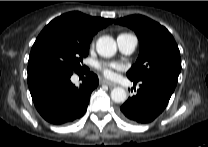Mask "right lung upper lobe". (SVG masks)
<instances>
[{
  "label": "right lung upper lobe",
  "mask_w": 208,
  "mask_h": 147,
  "mask_svg": "<svg viewBox=\"0 0 208 147\" xmlns=\"http://www.w3.org/2000/svg\"><path fill=\"white\" fill-rule=\"evenodd\" d=\"M113 22V19L91 17L78 11L69 12L53 19L39 34L35 42L53 34H68L91 42L98 30Z\"/></svg>",
  "instance_id": "obj_1"
}]
</instances>
